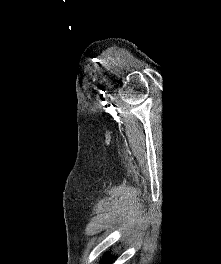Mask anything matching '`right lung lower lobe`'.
<instances>
[{"label": "right lung lower lobe", "instance_id": "1", "mask_svg": "<svg viewBox=\"0 0 221 264\" xmlns=\"http://www.w3.org/2000/svg\"><path fill=\"white\" fill-rule=\"evenodd\" d=\"M111 263V258H107L104 262V264H110Z\"/></svg>", "mask_w": 221, "mask_h": 264}]
</instances>
